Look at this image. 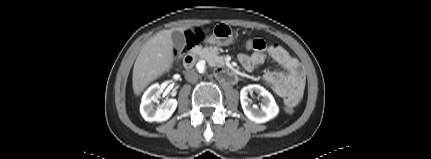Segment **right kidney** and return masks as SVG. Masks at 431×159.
I'll list each match as a JSON object with an SVG mask.
<instances>
[{
    "instance_id": "right-kidney-1",
    "label": "right kidney",
    "mask_w": 431,
    "mask_h": 159,
    "mask_svg": "<svg viewBox=\"0 0 431 159\" xmlns=\"http://www.w3.org/2000/svg\"><path fill=\"white\" fill-rule=\"evenodd\" d=\"M160 89L161 87L158 83L153 84L142 97L140 113L148 122H163L168 120L177 107V100L169 99L155 109L153 103L158 101Z\"/></svg>"
}]
</instances>
